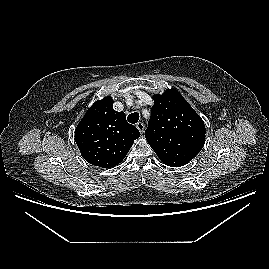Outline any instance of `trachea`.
Returning a JSON list of instances; mask_svg holds the SVG:
<instances>
[{
  "label": "trachea",
  "instance_id": "1",
  "mask_svg": "<svg viewBox=\"0 0 269 269\" xmlns=\"http://www.w3.org/2000/svg\"><path fill=\"white\" fill-rule=\"evenodd\" d=\"M127 120L132 123L135 124L138 122L139 120V114L137 112L131 113L129 114V116L127 117Z\"/></svg>",
  "mask_w": 269,
  "mask_h": 269
}]
</instances>
